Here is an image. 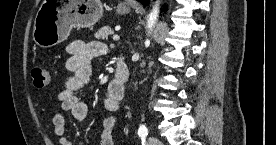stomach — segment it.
<instances>
[{"mask_svg": "<svg viewBox=\"0 0 276 145\" xmlns=\"http://www.w3.org/2000/svg\"><path fill=\"white\" fill-rule=\"evenodd\" d=\"M119 14L130 12L128 6H118ZM103 16L100 0H43L34 21L33 40L43 48L66 40L73 27L87 28Z\"/></svg>", "mask_w": 276, "mask_h": 145, "instance_id": "obj_1", "label": "stomach"}]
</instances>
